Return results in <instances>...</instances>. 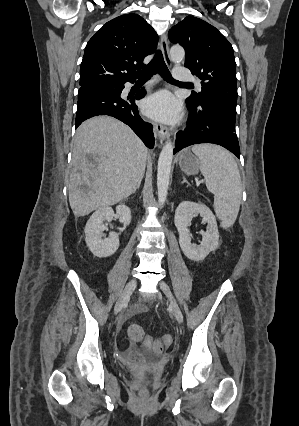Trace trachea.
<instances>
[{
  "label": "trachea",
  "instance_id": "obj_1",
  "mask_svg": "<svg viewBox=\"0 0 299 426\" xmlns=\"http://www.w3.org/2000/svg\"><path fill=\"white\" fill-rule=\"evenodd\" d=\"M156 73H159V75L168 82L182 83L174 80L171 76V73L164 62L161 51H157L154 59L142 70L139 80H148Z\"/></svg>",
  "mask_w": 299,
  "mask_h": 426
}]
</instances>
